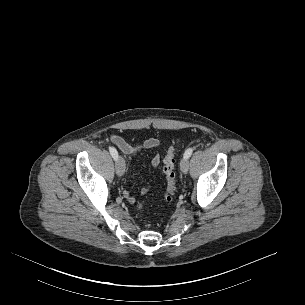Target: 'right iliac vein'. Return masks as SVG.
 <instances>
[{
	"label": "right iliac vein",
	"mask_w": 305,
	"mask_h": 305,
	"mask_svg": "<svg viewBox=\"0 0 305 305\" xmlns=\"http://www.w3.org/2000/svg\"><path fill=\"white\" fill-rule=\"evenodd\" d=\"M116 173L118 176H123L125 173V161L122 157H118L116 160Z\"/></svg>",
	"instance_id": "63e3f726"
}]
</instances>
